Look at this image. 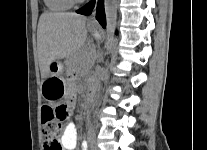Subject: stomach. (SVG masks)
Returning <instances> with one entry per match:
<instances>
[{"instance_id":"stomach-1","label":"stomach","mask_w":207,"mask_h":150,"mask_svg":"<svg viewBox=\"0 0 207 150\" xmlns=\"http://www.w3.org/2000/svg\"><path fill=\"white\" fill-rule=\"evenodd\" d=\"M95 38L100 37L99 31L93 27H88ZM63 65L59 61H53L50 65V72L41 85L43 97L46 100H56L67 97L72 92V86L61 76Z\"/></svg>"}]
</instances>
